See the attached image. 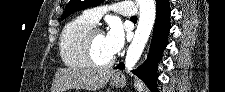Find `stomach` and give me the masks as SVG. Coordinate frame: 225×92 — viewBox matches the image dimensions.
Returning a JSON list of instances; mask_svg holds the SVG:
<instances>
[{
  "label": "stomach",
  "instance_id": "1",
  "mask_svg": "<svg viewBox=\"0 0 225 92\" xmlns=\"http://www.w3.org/2000/svg\"><path fill=\"white\" fill-rule=\"evenodd\" d=\"M110 83H111V85H113L117 88H121V87H124L126 85V79L120 73H113L110 76Z\"/></svg>",
  "mask_w": 225,
  "mask_h": 92
}]
</instances>
